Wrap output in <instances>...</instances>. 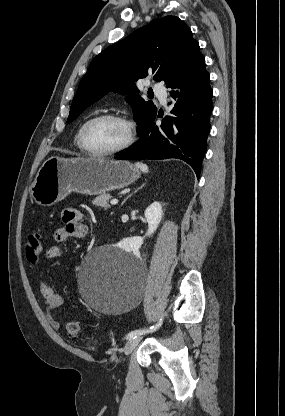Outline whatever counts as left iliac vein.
<instances>
[{"mask_svg": "<svg viewBox=\"0 0 285 416\" xmlns=\"http://www.w3.org/2000/svg\"><path fill=\"white\" fill-rule=\"evenodd\" d=\"M140 337H137V338H133V339H130L126 344H125V347H124V353H125V355H129L130 353H132L133 352V350L136 348V346L138 345V343H139V341H140Z\"/></svg>", "mask_w": 285, "mask_h": 416, "instance_id": "left-iliac-vein-1", "label": "left iliac vein"}]
</instances>
